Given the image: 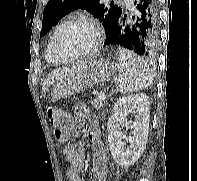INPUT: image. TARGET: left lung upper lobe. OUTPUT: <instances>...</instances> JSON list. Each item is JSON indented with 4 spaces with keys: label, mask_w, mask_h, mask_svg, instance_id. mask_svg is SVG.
I'll list each match as a JSON object with an SVG mask.
<instances>
[{
    "label": "left lung upper lobe",
    "mask_w": 197,
    "mask_h": 181,
    "mask_svg": "<svg viewBox=\"0 0 197 181\" xmlns=\"http://www.w3.org/2000/svg\"><path fill=\"white\" fill-rule=\"evenodd\" d=\"M76 9L91 13L103 24L106 32L111 22L123 13L117 5H105L100 0H49L43 12L40 36H44L62 17Z\"/></svg>",
    "instance_id": "obj_1"
}]
</instances>
